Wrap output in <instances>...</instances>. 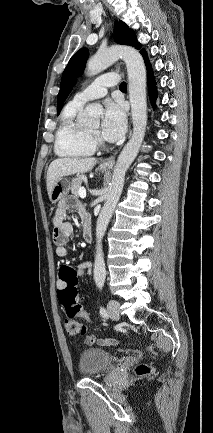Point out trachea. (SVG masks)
<instances>
[{
    "instance_id": "3493384b",
    "label": "trachea",
    "mask_w": 213,
    "mask_h": 433,
    "mask_svg": "<svg viewBox=\"0 0 213 433\" xmlns=\"http://www.w3.org/2000/svg\"><path fill=\"white\" fill-rule=\"evenodd\" d=\"M120 89H127V85L125 82H122L119 86Z\"/></svg>"
}]
</instances>
